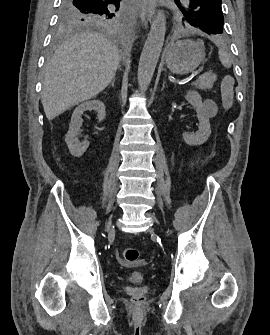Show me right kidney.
Here are the masks:
<instances>
[{"label":"right kidney","mask_w":270,"mask_h":335,"mask_svg":"<svg viewBox=\"0 0 270 335\" xmlns=\"http://www.w3.org/2000/svg\"><path fill=\"white\" fill-rule=\"evenodd\" d=\"M86 110H95L98 114L99 122H103L106 112L105 106L103 102L100 100H90V102H82L76 110H74L71 118V122L69 124V130L66 134L65 142L69 148L70 154L72 156H76V158H80L83 156L84 152H86L89 142L88 140H84V142H79L77 136H80V126H82V114L86 112Z\"/></svg>","instance_id":"obj_1"}]
</instances>
